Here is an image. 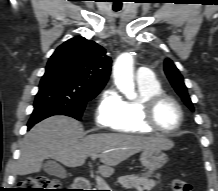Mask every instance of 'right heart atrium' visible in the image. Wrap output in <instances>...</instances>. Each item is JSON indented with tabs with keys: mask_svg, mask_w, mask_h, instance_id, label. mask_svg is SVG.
Instances as JSON below:
<instances>
[{
	"mask_svg": "<svg viewBox=\"0 0 218 191\" xmlns=\"http://www.w3.org/2000/svg\"><path fill=\"white\" fill-rule=\"evenodd\" d=\"M122 99L113 88L106 89L96 106L94 119L96 124L101 128H112L117 119Z\"/></svg>",
	"mask_w": 218,
	"mask_h": 191,
	"instance_id": "right-heart-atrium-1",
	"label": "right heart atrium"
}]
</instances>
